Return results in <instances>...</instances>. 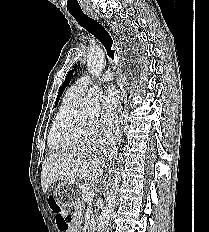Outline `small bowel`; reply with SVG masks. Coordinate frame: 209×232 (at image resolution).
Masks as SVG:
<instances>
[{"mask_svg":"<svg viewBox=\"0 0 209 232\" xmlns=\"http://www.w3.org/2000/svg\"><path fill=\"white\" fill-rule=\"evenodd\" d=\"M80 228H81V213L80 211H77L74 214L70 224L65 229L60 228V230L65 232H80Z\"/></svg>","mask_w":209,"mask_h":232,"instance_id":"1","label":"small bowel"}]
</instances>
